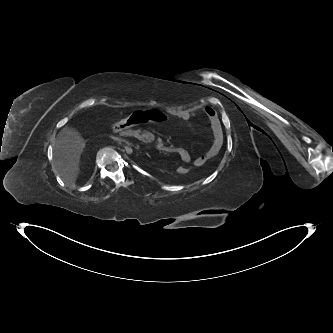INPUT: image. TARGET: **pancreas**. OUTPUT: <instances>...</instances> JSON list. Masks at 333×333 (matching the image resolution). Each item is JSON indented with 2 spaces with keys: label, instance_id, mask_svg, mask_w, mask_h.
Masks as SVG:
<instances>
[{
  "label": "pancreas",
  "instance_id": "1",
  "mask_svg": "<svg viewBox=\"0 0 333 333\" xmlns=\"http://www.w3.org/2000/svg\"><path fill=\"white\" fill-rule=\"evenodd\" d=\"M124 134L129 135V136H134L135 138H137L143 142H147V140L145 139V137H146L145 133H141L140 130H128Z\"/></svg>",
  "mask_w": 333,
  "mask_h": 333
}]
</instances>
